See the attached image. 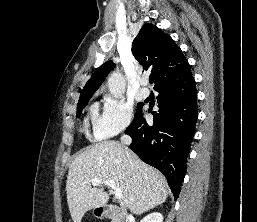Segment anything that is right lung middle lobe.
Returning a JSON list of instances; mask_svg holds the SVG:
<instances>
[{
    "mask_svg": "<svg viewBox=\"0 0 257 222\" xmlns=\"http://www.w3.org/2000/svg\"><path fill=\"white\" fill-rule=\"evenodd\" d=\"M90 98H91V97L85 99L84 101H82L80 104L77 105V113H78L77 116H78V117L81 115L82 109L86 106V104L88 103V100H89ZM142 106H143V105H142L141 103H139V104L137 105V112H136V114H138V113L141 112Z\"/></svg>",
    "mask_w": 257,
    "mask_h": 222,
    "instance_id": "1",
    "label": "right lung middle lobe"
}]
</instances>
